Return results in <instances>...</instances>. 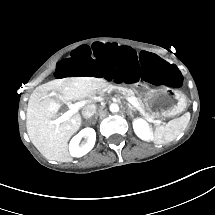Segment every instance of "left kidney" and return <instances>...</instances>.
Instances as JSON below:
<instances>
[{
	"mask_svg": "<svg viewBox=\"0 0 215 215\" xmlns=\"http://www.w3.org/2000/svg\"><path fill=\"white\" fill-rule=\"evenodd\" d=\"M133 129L135 134L142 140H151L153 137L148 123L143 119H135L133 121Z\"/></svg>",
	"mask_w": 215,
	"mask_h": 215,
	"instance_id": "5707ae66",
	"label": "left kidney"
}]
</instances>
